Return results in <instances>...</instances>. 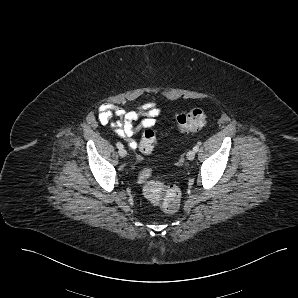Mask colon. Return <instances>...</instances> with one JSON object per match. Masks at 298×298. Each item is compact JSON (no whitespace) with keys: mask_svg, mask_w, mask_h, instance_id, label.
<instances>
[{"mask_svg":"<svg viewBox=\"0 0 298 298\" xmlns=\"http://www.w3.org/2000/svg\"><path fill=\"white\" fill-rule=\"evenodd\" d=\"M176 123L181 132H193L207 126L209 119L202 109L193 108L186 113L178 115ZM156 145L155 132L151 129L145 130L139 144L140 151L149 154L154 151ZM150 177V169H144L139 176L146 198L164 212H175L180 205V189L175 185L152 180Z\"/></svg>","mask_w":298,"mask_h":298,"instance_id":"1","label":"colon"}]
</instances>
